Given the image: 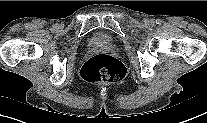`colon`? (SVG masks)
<instances>
[{
	"label": "colon",
	"instance_id": "obj_1",
	"mask_svg": "<svg viewBox=\"0 0 207 123\" xmlns=\"http://www.w3.org/2000/svg\"><path fill=\"white\" fill-rule=\"evenodd\" d=\"M124 65L108 54L90 57L82 66L81 75L89 82L115 83L125 76Z\"/></svg>",
	"mask_w": 207,
	"mask_h": 123
}]
</instances>
